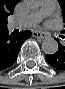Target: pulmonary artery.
Returning a JSON list of instances; mask_svg holds the SVG:
<instances>
[{
	"label": "pulmonary artery",
	"mask_w": 65,
	"mask_h": 89,
	"mask_svg": "<svg viewBox=\"0 0 65 89\" xmlns=\"http://www.w3.org/2000/svg\"><path fill=\"white\" fill-rule=\"evenodd\" d=\"M57 4L53 0L43 1L40 9L30 14L15 18L9 22L11 28H30L39 23L44 17L51 15L56 10Z\"/></svg>",
	"instance_id": "1"
}]
</instances>
